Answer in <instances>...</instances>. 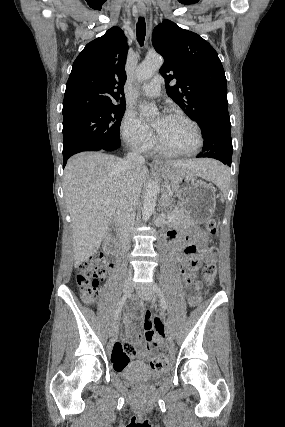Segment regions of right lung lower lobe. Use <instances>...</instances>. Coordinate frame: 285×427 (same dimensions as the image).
Here are the masks:
<instances>
[{
    "label": "right lung lower lobe",
    "instance_id": "right-lung-lower-lobe-1",
    "mask_svg": "<svg viewBox=\"0 0 285 427\" xmlns=\"http://www.w3.org/2000/svg\"><path fill=\"white\" fill-rule=\"evenodd\" d=\"M68 160H63V167H65Z\"/></svg>",
    "mask_w": 285,
    "mask_h": 427
}]
</instances>
